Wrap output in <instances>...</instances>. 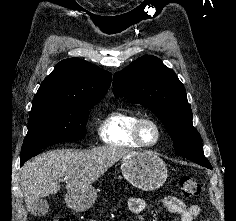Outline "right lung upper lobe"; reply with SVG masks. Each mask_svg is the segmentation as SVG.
Masks as SVG:
<instances>
[{
    "instance_id": "obj_1",
    "label": "right lung upper lobe",
    "mask_w": 236,
    "mask_h": 221,
    "mask_svg": "<svg viewBox=\"0 0 236 221\" xmlns=\"http://www.w3.org/2000/svg\"><path fill=\"white\" fill-rule=\"evenodd\" d=\"M111 73L79 59L60 61L39 87L33 101H100L106 94Z\"/></svg>"
}]
</instances>
